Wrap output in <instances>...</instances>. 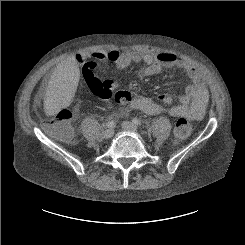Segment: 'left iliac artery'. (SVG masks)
Returning <instances> with one entry per match:
<instances>
[{
	"label": "left iliac artery",
	"mask_w": 245,
	"mask_h": 245,
	"mask_svg": "<svg viewBox=\"0 0 245 245\" xmlns=\"http://www.w3.org/2000/svg\"><path fill=\"white\" fill-rule=\"evenodd\" d=\"M132 122H133L135 125H141V121H140L138 118H133V119H132Z\"/></svg>",
	"instance_id": "1"
}]
</instances>
